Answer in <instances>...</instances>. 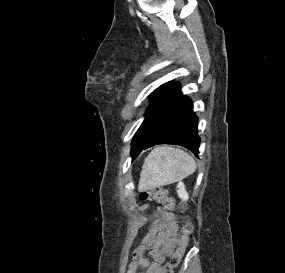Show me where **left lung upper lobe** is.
<instances>
[{
	"label": "left lung upper lobe",
	"mask_w": 285,
	"mask_h": 273,
	"mask_svg": "<svg viewBox=\"0 0 285 273\" xmlns=\"http://www.w3.org/2000/svg\"><path fill=\"white\" fill-rule=\"evenodd\" d=\"M175 84L168 82L157 88L151 95L150 107H153ZM148 109V110H149Z\"/></svg>",
	"instance_id": "left-lung-upper-lobe-1"
}]
</instances>
